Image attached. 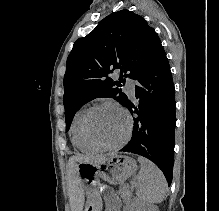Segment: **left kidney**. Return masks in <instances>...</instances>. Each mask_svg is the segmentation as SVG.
Returning a JSON list of instances; mask_svg holds the SVG:
<instances>
[{
	"mask_svg": "<svg viewBox=\"0 0 219 211\" xmlns=\"http://www.w3.org/2000/svg\"><path fill=\"white\" fill-rule=\"evenodd\" d=\"M134 209L136 211H158L157 207H149V205H143L142 201H139V199H136L135 203H133ZM132 209V211H134Z\"/></svg>",
	"mask_w": 219,
	"mask_h": 211,
	"instance_id": "1",
	"label": "left kidney"
}]
</instances>
